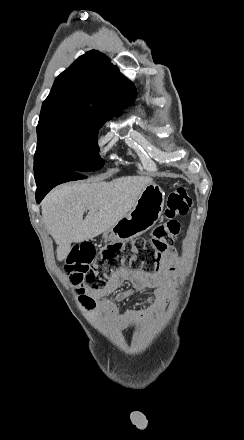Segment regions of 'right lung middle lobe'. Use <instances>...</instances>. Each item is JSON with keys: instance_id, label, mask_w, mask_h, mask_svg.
<instances>
[{"instance_id": "right-lung-middle-lobe-1", "label": "right lung middle lobe", "mask_w": 244, "mask_h": 440, "mask_svg": "<svg viewBox=\"0 0 244 440\" xmlns=\"http://www.w3.org/2000/svg\"><path fill=\"white\" fill-rule=\"evenodd\" d=\"M119 112L73 103L43 104L37 126L35 173L46 169L81 173L99 170L104 160L98 155V131Z\"/></svg>"}]
</instances>
